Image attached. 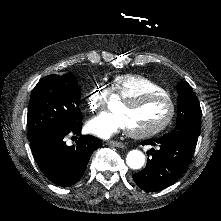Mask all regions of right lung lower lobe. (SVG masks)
<instances>
[{
    "label": "right lung lower lobe",
    "mask_w": 221,
    "mask_h": 221,
    "mask_svg": "<svg viewBox=\"0 0 221 221\" xmlns=\"http://www.w3.org/2000/svg\"><path fill=\"white\" fill-rule=\"evenodd\" d=\"M82 123L71 131L44 133L32 138L30 146L34 158L44 175L54 184L69 187L83 176L93 151L102 141L91 135H81L77 146H67L64 137L79 136Z\"/></svg>",
    "instance_id": "obj_1"
}]
</instances>
